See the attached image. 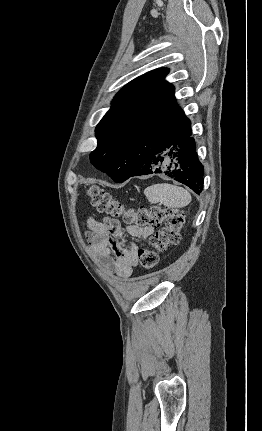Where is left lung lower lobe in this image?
<instances>
[{
    "label": "left lung lower lobe",
    "mask_w": 262,
    "mask_h": 431,
    "mask_svg": "<svg viewBox=\"0 0 262 431\" xmlns=\"http://www.w3.org/2000/svg\"><path fill=\"white\" fill-rule=\"evenodd\" d=\"M129 175L165 174L199 194L203 188L204 168L198 159L191 126H182L165 137L151 152L134 159Z\"/></svg>",
    "instance_id": "0a47b994"
}]
</instances>
